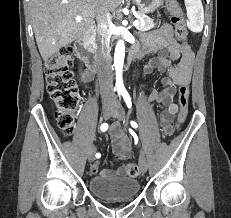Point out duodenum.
I'll use <instances>...</instances> for the list:
<instances>
[{
  "label": "duodenum",
  "mask_w": 231,
  "mask_h": 218,
  "mask_svg": "<svg viewBox=\"0 0 231 218\" xmlns=\"http://www.w3.org/2000/svg\"><path fill=\"white\" fill-rule=\"evenodd\" d=\"M94 35V28L91 27L82 37L75 42V49L79 56L84 60L90 72L96 73L98 71V61L92 51V38ZM132 60L139 58L137 51H132L130 54Z\"/></svg>",
  "instance_id": "1"
}]
</instances>
